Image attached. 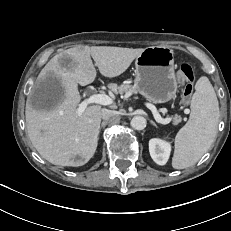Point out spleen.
<instances>
[{
	"label": "spleen",
	"instance_id": "spleen-1",
	"mask_svg": "<svg viewBox=\"0 0 231 231\" xmlns=\"http://www.w3.org/2000/svg\"><path fill=\"white\" fill-rule=\"evenodd\" d=\"M191 101L189 121L175 137L172 167L184 169L197 163L214 141L219 122V103L209 79L199 78Z\"/></svg>",
	"mask_w": 231,
	"mask_h": 231
}]
</instances>
